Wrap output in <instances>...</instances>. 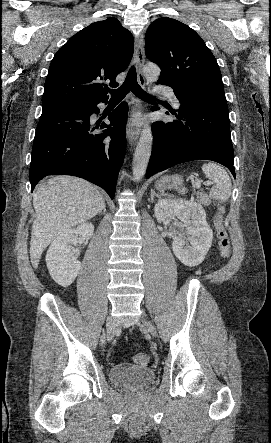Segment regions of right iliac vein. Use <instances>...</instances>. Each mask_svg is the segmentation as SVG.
<instances>
[{
    "label": "right iliac vein",
    "instance_id": "1",
    "mask_svg": "<svg viewBox=\"0 0 271 443\" xmlns=\"http://www.w3.org/2000/svg\"><path fill=\"white\" fill-rule=\"evenodd\" d=\"M106 328H107V340L111 341L114 338L115 333H116V326H115V323L111 317L107 318Z\"/></svg>",
    "mask_w": 271,
    "mask_h": 443
}]
</instances>
